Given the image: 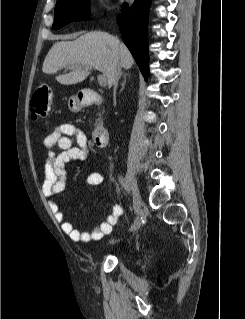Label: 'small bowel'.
Segmentation results:
<instances>
[{
	"mask_svg": "<svg viewBox=\"0 0 245 319\" xmlns=\"http://www.w3.org/2000/svg\"><path fill=\"white\" fill-rule=\"evenodd\" d=\"M44 145L47 149L45 157L42 194L49 198L62 193L66 187L65 165L70 161H84L89 156L87 134L72 124H61L53 128L45 137ZM103 181L101 173H89L85 179L86 186H97ZM49 207L55 219L61 224L62 231L73 241L89 243L102 239L109 234L113 225L122 214V207L115 205L107 219L94 227L90 232H81L73 223L65 219L55 201L49 202Z\"/></svg>",
	"mask_w": 245,
	"mask_h": 319,
	"instance_id": "obj_1",
	"label": "small bowel"
}]
</instances>
